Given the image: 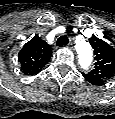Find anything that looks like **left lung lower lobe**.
Instances as JSON below:
<instances>
[{
  "label": "left lung lower lobe",
  "instance_id": "left-lung-lower-lobe-1",
  "mask_svg": "<svg viewBox=\"0 0 115 119\" xmlns=\"http://www.w3.org/2000/svg\"><path fill=\"white\" fill-rule=\"evenodd\" d=\"M83 76L86 78L88 82L96 86H102L105 83L104 79L89 73L88 74L83 73Z\"/></svg>",
  "mask_w": 115,
  "mask_h": 119
}]
</instances>
